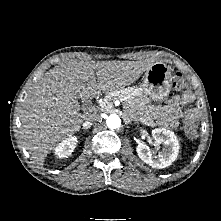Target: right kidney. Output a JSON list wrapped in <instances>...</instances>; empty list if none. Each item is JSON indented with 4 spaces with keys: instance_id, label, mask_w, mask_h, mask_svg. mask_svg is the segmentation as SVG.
I'll use <instances>...</instances> for the list:
<instances>
[{
    "instance_id": "ca27d5eb",
    "label": "right kidney",
    "mask_w": 221,
    "mask_h": 221,
    "mask_svg": "<svg viewBox=\"0 0 221 221\" xmlns=\"http://www.w3.org/2000/svg\"><path fill=\"white\" fill-rule=\"evenodd\" d=\"M77 143L78 140L76 137L67 138L57 145L54 153L58 158H67L72 154Z\"/></svg>"
}]
</instances>
